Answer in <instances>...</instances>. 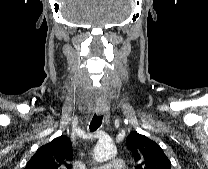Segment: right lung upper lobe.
Here are the masks:
<instances>
[{"mask_svg":"<svg viewBox=\"0 0 208 169\" xmlns=\"http://www.w3.org/2000/svg\"><path fill=\"white\" fill-rule=\"evenodd\" d=\"M72 160L71 141L66 136H60L41 146L25 169H71Z\"/></svg>","mask_w":208,"mask_h":169,"instance_id":"right-lung-upper-lobe-1","label":"right lung upper lobe"}]
</instances>
